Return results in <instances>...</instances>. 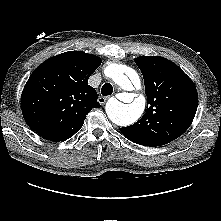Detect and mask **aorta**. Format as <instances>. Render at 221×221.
<instances>
[{
  "label": "aorta",
  "instance_id": "762f6f07",
  "mask_svg": "<svg viewBox=\"0 0 221 221\" xmlns=\"http://www.w3.org/2000/svg\"><path fill=\"white\" fill-rule=\"evenodd\" d=\"M109 77L121 89L130 91L133 85L140 83L137 72L122 64L112 63L107 67ZM127 103L124 104L117 99H110L106 104V113L109 119L120 126H127L137 121L145 109V98L139 96L133 99L131 94L128 95Z\"/></svg>",
  "mask_w": 221,
  "mask_h": 221
}]
</instances>
